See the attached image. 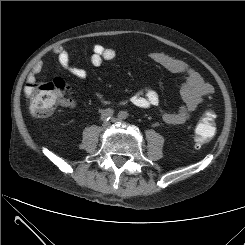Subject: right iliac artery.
Wrapping results in <instances>:
<instances>
[{"instance_id": "right-iliac-artery-1", "label": "right iliac artery", "mask_w": 245, "mask_h": 245, "mask_svg": "<svg viewBox=\"0 0 245 245\" xmlns=\"http://www.w3.org/2000/svg\"><path fill=\"white\" fill-rule=\"evenodd\" d=\"M114 111L112 109H106L101 113V120L102 121H109L113 116Z\"/></svg>"}]
</instances>
